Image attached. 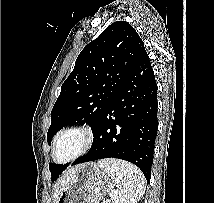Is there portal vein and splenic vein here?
Instances as JSON below:
<instances>
[{
  "label": "portal vein and splenic vein",
  "instance_id": "18ae733b",
  "mask_svg": "<svg viewBox=\"0 0 214 203\" xmlns=\"http://www.w3.org/2000/svg\"><path fill=\"white\" fill-rule=\"evenodd\" d=\"M112 199H114L115 198V196L114 195H112V197H111Z\"/></svg>",
  "mask_w": 214,
  "mask_h": 203
}]
</instances>
